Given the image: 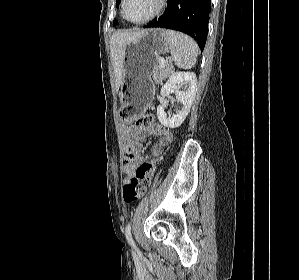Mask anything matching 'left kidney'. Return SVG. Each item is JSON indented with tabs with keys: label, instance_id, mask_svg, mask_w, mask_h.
<instances>
[{
	"label": "left kidney",
	"instance_id": "obj_1",
	"mask_svg": "<svg viewBox=\"0 0 299 280\" xmlns=\"http://www.w3.org/2000/svg\"><path fill=\"white\" fill-rule=\"evenodd\" d=\"M184 88L181 90V87ZM197 91V78L193 72H176L173 73L166 84L161 89V95L163 97L174 93L176 101L181 103L182 109L178 111L172 117H167L165 113V105H159L157 108V116L159 122L168 127L176 128L179 127L186 119L192 103L194 101Z\"/></svg>",
	"mask_w": 299,
	"mask_h": 280
}]
</instances>
